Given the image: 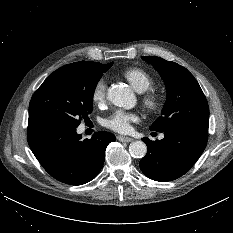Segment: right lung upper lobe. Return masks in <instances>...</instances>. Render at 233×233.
Instances as JSON below:
<instances>
[{
    "instance_id": "cb5924a9",
    "label": "right lung upper lobe",
    "mask_w": 233,
    "mask_h": 233,
    "mask_svg": "<svg viewBox=\"0 0 233 233\" xmlns=\"http://www.w3.org/2000/svg\"><path fill=\"white\" fill-rule=\"evenodd\" d=\"M80 62H89V61H80ZM94 63H97V62H94ZM112 64H113V62H112V63H109V64H104L103 66L111 67V66H112Z\"/></svg>"
}]
</instances>
